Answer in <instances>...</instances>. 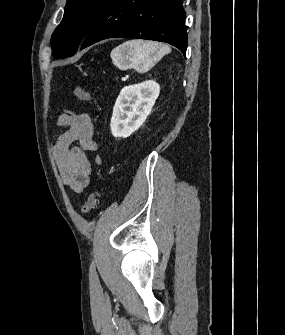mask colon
<instances>
[{
    "label": "colon",
    "instance_id": "obj_1",
    "mask_svg": "<svg viewBox=\"0 0 285 335\" xmlns=\"http://www.w3.org/2000/svg\"><path fill=\"white\" fill-rule=\"evenodd\" d=\"M73 92H74V95L77 97V99L81 101L92 102L95 99L93 94H91L88 91L83 90L79 86H75ZM98 196H99V193L97 190H94L93 192L89 194L87 200L85 201V203L83 204L81 208V212L83 214L89 213L96 207L97 202H98Z\"/></svg>",
    "mask_w": 285,
    "mask_h": 335
}]
</instances>
